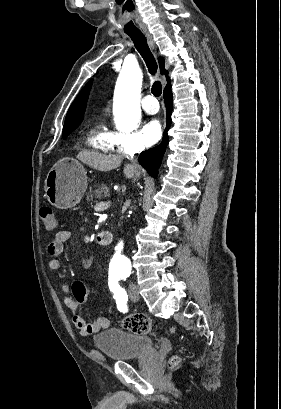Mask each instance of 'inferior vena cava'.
Segmentation results:
<instances>
[{"label": "inferior vena cava", "instance_id": "inferior-vena-cava-1", "mask_svg": "<svg viewBox=\"0 0 281 409\" xmlns=\"http://www.w3.org/2000/svg\"><path fill=\"white\" fill-rule=\"evenodd\" d=\"M131 160H133V162H135L134 166H135V174H136V178H137V176H140V174H141V166H140V164H136V162H137L136 158H131ZM136 178H134V180H136Z\"/></svg>", "mask_w": 281, "mask_h": 409}]
</instances>
